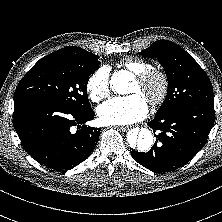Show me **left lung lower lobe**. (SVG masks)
<instances>
[{
	"label": "left lung lower lobe",
	"instance_id": "0a47b994",
	"mask_svg": "<svg viewBox=\"0 0 222 222\" xmlns=\"http://www.w3.org/2000/svg\"><path fill=\"white\" fill-rule=\"evenodd\" d=\"M214 121V103H190L155 115L148 123L157 138L154 146L148 152L132 150L131 155L140 165L156 173L177 169L206 144Z\"/></svg>",
	"mask_w": 222,
	"mask_h": 222
}]
</instances>
